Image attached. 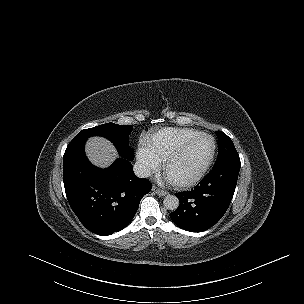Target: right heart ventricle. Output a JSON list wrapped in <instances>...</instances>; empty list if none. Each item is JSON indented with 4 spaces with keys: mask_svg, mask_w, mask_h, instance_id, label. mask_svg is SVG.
<instances>
[{
    "mask_svg": "<svg viewBox=\"0 0 304 304\" xmlns=\"http://www.w3.org/2000/svg\"><path fill=\"white\" fill-rule=\"evenodd\" d=\"M200 133L192 128L165 127L151 134L149 145L160 159H165L182 144Z\"/></svg>",
    "mask_w": 304,
    "mask_h": 304,
    "instance_id": "e07e8e85",
    "label": "right heart ventricle"
}]
</instances>
